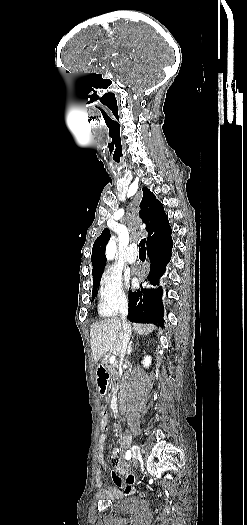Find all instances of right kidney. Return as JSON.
<instances>
[{
    "label": "right kidney",
    "instance_id": "1",
    "mask_svg": "<svg viewBox=\"0 0 247 525\" xmlns=\"http://www.w3.org/2000/svg\"><path fill=\"white\" fill-rule=\"evenodd\" d=\"M151 357H144L143 361H142V365L143 367H146V369H148V367H150L151 365Z\"/></svg>",
    "mask_w": 247,
    "mask_h": 525
}]
</instances>
